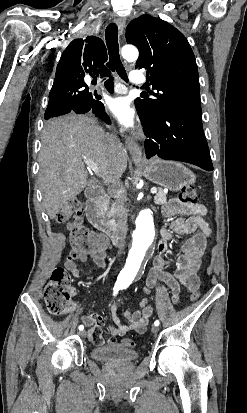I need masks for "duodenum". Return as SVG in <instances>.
<instances>
[{
  "mask_svg": "<svg viewBox=\"0 0 247 413\" xmlns=\"http://www.w3.org/2000/svg\"><path fill=\"white\" fill-rule=\"evenodd\" d=\"M107 192L102 186H95L87 192L86 217L90 224L98 231L105 234L114 244H118L120 236L117 230L109 224L104 216L103 211L106 207Z\"/></svg>",
  "mask_w": 247,
  "mask_h": 413,
  "instance_id": "1",
  "label": "duodenum"
}]
</instances>
